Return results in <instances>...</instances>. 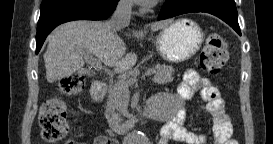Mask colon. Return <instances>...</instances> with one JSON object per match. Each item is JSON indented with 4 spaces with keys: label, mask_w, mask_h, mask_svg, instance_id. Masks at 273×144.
Returning a JSON list of instances; mask_svg holds the SVG:
<instances>
[{
    "label": "colon",
    "mask_w": 273,
    "mask_h": 144,
    "mask_svg": "<svg viewBox=\"0 0 273 144\" xmlns=\"http://www.w3.org/2000/svg\"><path fill=\"white\" fill-rule=\"evenodd\" d=\"M228 57L227 46L218 33L210 34L200 53V66L211 76H217ZM84 85L80 75H72L61 80L59 89L63 96L77 94ZM67 109L61 99L52 98L46 101L40 110L39 123L42 138L47 142L62 140L68 130Z\"/></svg>",
    "instance_id": "colon-1"
}]
</instances>
